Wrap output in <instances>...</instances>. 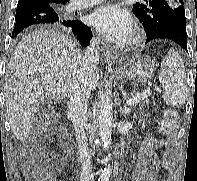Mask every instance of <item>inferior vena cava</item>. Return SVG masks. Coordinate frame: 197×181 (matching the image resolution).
<instances>
[{
    "instance_id": "602c4592",
    "label": "inferior vena cava",
    "mask_w": 197,
    "mask_h": 181,
    "mask_svg": "<svg viewBox=\"0 0 197 181\" xmlns=\"http://www.w3.org/2000/svg\"><path fill=\"white\" fill-rule=\"evenodd\" d=\"M98 38H93L86 49V56L81 59L69 100L68 115L73 122L81 161L80 181H90L91 162L85 132L87 122V103L91 93L90 77L99 61Z\"/></svg>"
}]
</instances>
